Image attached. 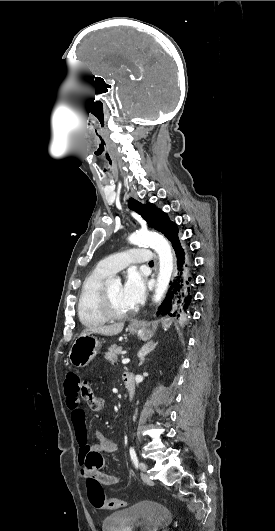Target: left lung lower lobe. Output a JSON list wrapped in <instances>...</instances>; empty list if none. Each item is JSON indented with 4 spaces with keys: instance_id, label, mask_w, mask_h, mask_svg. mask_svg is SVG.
I'll return each mask as SVG.
<instances>
[{
    "instance_id": "obj_1",
    "label": "left lung lower lobe",
    "mask_w": 275,
    "mask_h": 531,
    "mask_svg": "<svg viewBox=\"0 0 275 531\" xmlns=\"http://www.w3.org/2000/svg\"><path fill=\"white\" fill-rule=\"evenodd\" d=\"M165 237L171 242L175 252L176 277L173 282L170 281V288L158 313L184 319L189 313L192 299V257L175 223L168 228Z\"/></svg>"
}]
</instances>
